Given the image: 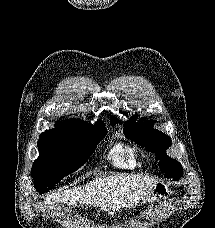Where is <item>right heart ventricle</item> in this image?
<instances>
[{"instance_id":"right-heart-ventricle-1","label":"right heart ventricle","mask_w":215,"mask_h":228,"mask_svg":"<svg viewBox=\"0 0 215 228\" xmlns=\"http://www.w3.org/2000/svg\"><path fill=\"white\" fill-rule=\"evenodd\" d=\"M107 157L115 167L120 169L132 170L137 166L136 149L124 140L114 142Z\"/></svg>"}]
</instances>
